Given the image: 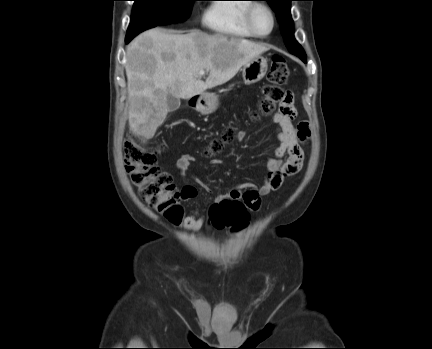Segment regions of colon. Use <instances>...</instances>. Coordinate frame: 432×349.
Returning a JSON list of instances; mask_svg holds the SVG:
<instances>
[{
	"instance_id": "obj_1",
	"label": "colon",
	"mask_w": 432,
	"mask_h": 349,
	"mask_svg": "<svg viewBox=\"0 0 432 349\" xmlns=\"http://www.w3.org/2000/svg\"><path fill=\"white\" fill-rule=\"evenodd\" d=\"M289 77V68L284 58L274 56L267 75V84L262 89L258 109L251 114L253 120L272 113L279 104L280 110H287L292 103V94L282 89ZM236 128L227 127L220 137L207 147L210 156L219 154L232 141ZM162 146L147 148L137 136H130L124 142L125 167L132 183L138 188L140 197L170 222L177 224L182 216L181 196L177 192L172 176L157 165ZM249 214L242 201L223 200L211 210L214 227L240 229L247 225Z\"/></svg>"
}]
</instances>
